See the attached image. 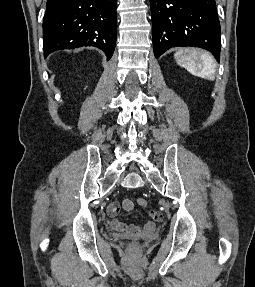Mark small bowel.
Returning a JSON list of instances; mask_svg holds the SVG:
<instances>
[{
  "label": "small bowel",
  "mask_w": 255,
  "mask_h": 287,
  "mask_svg": "<svg viewBox=\"0 0 255 287\" xmlns=\"http://www.w3.org/2000/svg\"><path fill=\"white\" fill-rule=\"evenodd\" d=\"M130 211L133 208V202L130 199H124L121 203L112 202L107 207V214L112 217L111 227L114 231L122 234H138V233H152L156 228V223L163 220V214L160 211L152 210L150 212L151 220L142 226L127 225L115 217L119 213L120 208Z\"/></svg>",
  "instance_id": "obj_1"
}]
</instances>
